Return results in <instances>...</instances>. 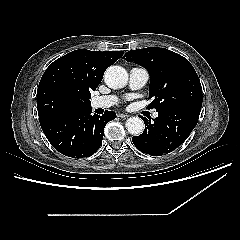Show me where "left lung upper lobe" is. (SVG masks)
<instances>
[{
    "instance_id": "left-lung-upper-lobe-1",
    "label": "left lung upper lobe",
    "mask_w": 240,
    "mask_h": 240,
    "mask_svg": "<svg viewBox=\"0 0 240 240\" xmlns=\"http://www.w3.org/2000/svg\"><path fill=\"white\" fill-rule=\"evenodd\" d=\"M124 59L146 68L150 74L148 107L157 112L188 105H202V87L196 71L183 56L165 48L129 51Z\"/></svg>"
}]
</instances>
